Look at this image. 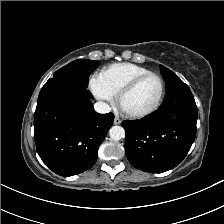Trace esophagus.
I'll return each instance as SVG.
<instances>
[{
	"label": "esophagus",
	"mask_w": 224,
	"mask_h": 224,
	"mask_svg": "<svg viewBox=\"0 0 224 224\" xmlns=\"http://www.w3.org/2000/svg\"><path fill=\"white\" fill-rule=\"evenodd\" d=\"M121 119L120 118H118V117H115V119H114V124L115 125H118V124H121Z\"/></svg>",
	"instance_id": "obj_1"
}]
</instances>
